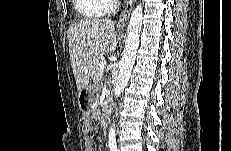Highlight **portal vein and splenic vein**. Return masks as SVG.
Masks as SVG:
<instances>
[{
  "mask_svg": "<svg viewBox=\"0 0 231 151\" xmlns=\"http://www.w3.org/2000/svg\"><path fill=\"white\" fill-rule=\"evenodd\" d=\"M106 64H107L106 61H102L99 65L100 69H104Z\"/></svg>",
  "mask_w": 231,
  "mask_h": 151,
  "instance_id": "1",
  "label": "portal vein and splenic vein"
}]
</instances>
